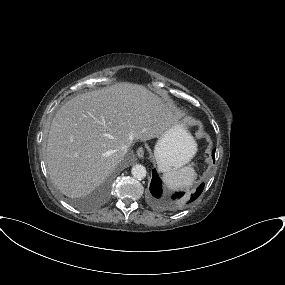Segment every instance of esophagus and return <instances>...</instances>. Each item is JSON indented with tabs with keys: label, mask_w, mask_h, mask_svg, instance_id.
I'll use <instances>...</instances> for the list:
<instances>
[{
	"label": "esophagus",
	"mask_w": 285,
	"mask_h": 285,
	"mask_svg": "<svg viewBox=\"0 0 285 285\" xmlns=\"http://www.w3.org/2000/svg\"><path fill=\"white\" fill-rule=\"evenodd\" d=\"M136 153H137V156L139 158H143V156H144V149L142 147H140V148L137 149Z\"/></svg>",
	"instance_id": "esophagus-1"
}]
</instances>
